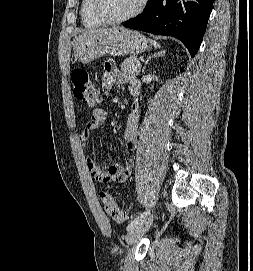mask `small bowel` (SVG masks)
<instances>
[{
	"instance_id": "c3829d8e",
	"label": "small bowel",
	"mask_w": 253,
	"mask_h": 271,
	"mask_svg": "<svg viewBox=\"0 0 253 271\" xmlns=\"http://www.w3.org/2000/svg\"><path fill=\"white\" fill-rule=\"evenodd\" d=\"M115 84L126 85L133 97L132 113L128 116L126 129L123 134V140L130 150L136 148L137 132L139 127V105L138 96L141 91L140 82L134 76L121 73L113 62H106L104 65V75L102 88L105 94H108ZM107 120V112L101 108L92 111L87 126L79 133L78 140L83 146L90 142L94 131L99 130ZM134 160L129 158L124 164H113L110 166H99L94 160L87 159L86 166L92 179L105 182H125L131 174Z\"/></svg>"
}]
</instances>
